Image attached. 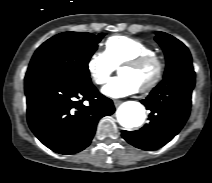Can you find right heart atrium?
<instances>
[{
    "label": "right heart atrium",
    "mask_w": 212,
    "mask_h": 183,
    "mask_svg": "<svg viewBox=\"0 0 212 183\" xmlns=\"http://www.w3.org/2000/svg\"><path fill=\"white\" fill-rule=\"evenodd\" d=\"M115 69L116 67L105 52L94 53L87 63L88 73L92 81L97 85L106 84Z\"/></svg>",
    "instance_id": "obj_1"
}]
</instances>
